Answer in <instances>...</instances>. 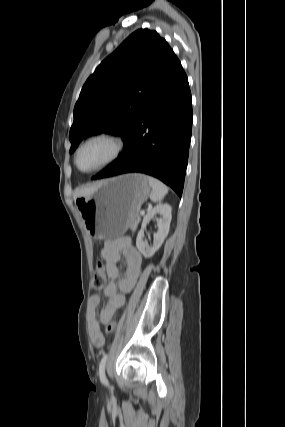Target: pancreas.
<instances>
[{"mask_svg": "<svg viewBox=\"0 0 285 427\" xmlns=\"http://www.w3.org/2000/svg\"><path fill=\"white\" fill-rule=\"evenodd\" d=\"M139 221H140V219H139V217H137V218L132 222V224L130 225V227H131V229H132L133 231H135V230H136V228H137V225H138Z\"/></svg>", "mask_w": 285, "mask_h": 427, "instance_id": "1", "label": "pancreas"}]
</instances>
